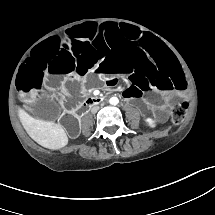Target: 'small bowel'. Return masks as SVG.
<instances>
[{
  "label": "small bowel",
  "instance_id": "c3829d8e",
  "mask_svg": "<svg viewBox=\"0 0 215 215\" xmlns=\"http://www.w3.org/2000/svg\"><path fill=\"white\" fill-rule=\"evenodd\" d=\"M123 96H124L125 98L133 99V98H135V92H134V91H128L127 93L124 92V93H123Z\"/></svg>",
  "mask_w": 215,
  "mask_h": 215
}]
</instances>
